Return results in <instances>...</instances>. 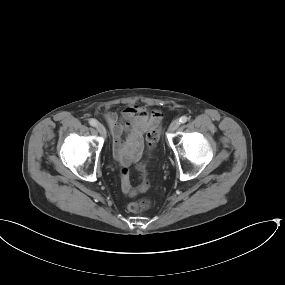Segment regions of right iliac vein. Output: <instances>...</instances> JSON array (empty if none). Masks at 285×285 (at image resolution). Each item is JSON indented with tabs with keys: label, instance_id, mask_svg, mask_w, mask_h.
Returning <instances> with one entry per match:
<instances>
[{
	"label": "right iliac vein",
	"instance_id": "right-iliac-vein-1",
	"mask_svg": "<svg viewBox=\"0 0 285 285\" xmlns=\"http://www.w3.org/2000/svg\"><path fill=\"white\" fill-rule=\"evenodd\" d=\"M96 129H97V131L99 132V134L101 136H103V137L106 136V129H105V127L102 124H97L96 125Z\"/></svg>",
	"mask_w": 285,
	"mask_h": 285
}]
</instances>
